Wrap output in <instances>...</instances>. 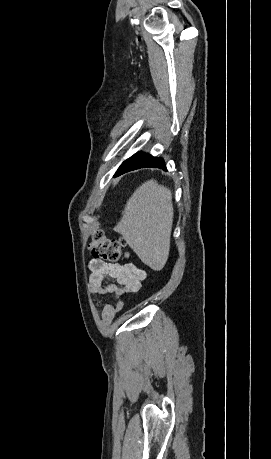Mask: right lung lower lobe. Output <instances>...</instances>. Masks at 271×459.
Here are the masks:
<instances>
[{
	"label": "right lung lower lobe",
	"instance_id": "98d812e1",
	"mask_svg": "<svg viewBox=\"0 0 271 459\" xmlns=\"http://www.w3.org/2000/svg\"><path fill=\"white\" fill-rule=\"evenodd\" d=\"M144 167H155L166 170L165 162L162 158H155L146 153H137L122 163L117 170L115 177Z\"/></svg>",
	"mask_w": 271,
	"mask_h": 459
}]
</instances>
